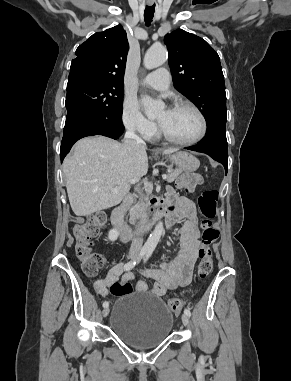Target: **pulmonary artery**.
Wrapping results in <instances>:
<instances>
[{
  "instance_id": "e3ab8cb5",
  "label": "pulmonary artery",
  "mask_w": 291,
  "mask_h": 381,
  "mask_svg": "<svg viewBox=\"0 0 291 381\" xmlns=\"http://www.w3.org/2000/svg\"><path fill=\"white\" fill-rule=\"evenodd\" d=\"M141 83L159 91H166L170 86V75L166 68H159L147 74Z\"/></svg>"
}]
</instances>
